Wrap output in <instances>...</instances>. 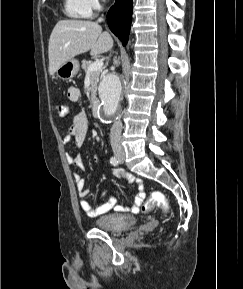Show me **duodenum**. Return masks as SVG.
<instances>
[{
    "instance_id": "1",
    "label": "duodenum",
    "mask_w": 243,
    "mask_h": 289,
    "mask_svg": "<svg viewBox=\"0 0 243 289\" xmlns=\"http://www.w3.org/2000/svg\"><path fill=\"white\" fill-rule=\"evenodd\" d=\"M92 113L95 117H99L101 114V105L97 99L93 100L92 102Z\"/></svg>"
}]
</instances>
